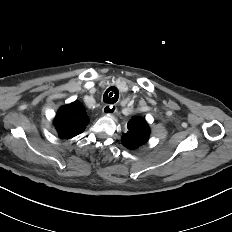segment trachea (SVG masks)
Here are the masks:
<instances>
[{"label": "trachea", "mask_w": 232, "mask_h": 232, "mask_svg": "<svg viewBox=\"0 0 232 232\" xmlns=\"http://www.w3.org/2000/svg\"><path fill=\"white\" fill-rule=\"evenodd\" d=\"M119 92L116 87H109L103 96V101L108 104H114L118 101Z\"/></svg>", "instance_id": "trachea-1"}]
</instances>
